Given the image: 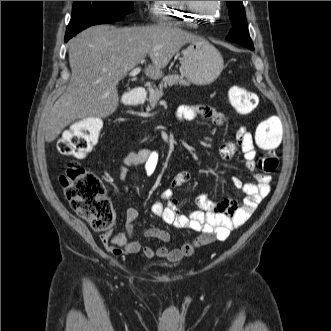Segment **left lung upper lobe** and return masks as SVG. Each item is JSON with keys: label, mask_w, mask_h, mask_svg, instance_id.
Returning <instances> with one entry per match:
<instances>
[{"label": "left lung upper lobe", "mask_w": 331, "mask_h": 331, "mask_svg": "<svg viewBox=\"0 0 331 331\" xmlns=\"http://www.w3.org/2000/svg\"><path fill=\"white\" fill-rule=\"evenodd\" d=\"M232 29L226 39L239 43L249 49H253V43L249 36L245 10L242 1H227Z\"/></svg>", "instance_id": "5c2ea615"}]
</instances>
